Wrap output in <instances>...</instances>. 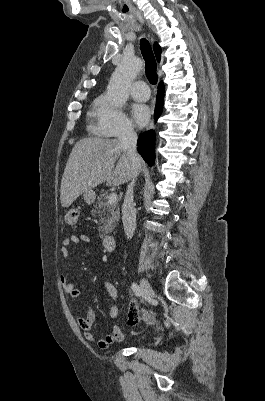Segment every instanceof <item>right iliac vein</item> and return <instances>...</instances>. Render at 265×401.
Instances as JSON below:
<instances>
[{
    "mask_svg": "<svg viewBox=\"0 0 265 401\" xmlns=\"http://www.w3.org/2000/svg\"><path fill=\"white\" fill-rule=\"evenodd\" d=\"M140 285L143 290L144 296L146 298H150V296L153 292L151 284L145 278H142L140 281Z\"/></svg>",
    "mask_w": 265,
    "mask_h": 401,
    "instance_id": "right-iliac-vein-1",
    "label": "right iliac vein"
}]
</instances>
